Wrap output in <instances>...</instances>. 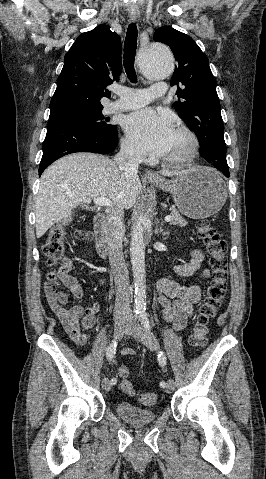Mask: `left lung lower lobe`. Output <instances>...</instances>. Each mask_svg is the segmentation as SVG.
I'll return each instance as SVG.
<instances>
[{"label":"left lung lower lobe","mask_w":266,"mask_h":479,"mask_svg":"<svg viewBox=\"0 0 266 479\" xmlns=\"http://www.w3.org/2000/svg\"><path fill=\"white\" fill-rule=\"evenodd\" d=\"M218 170H220L226 177H229V169H228V167H227V168H226V167H223V168H220V169H218Z\"/></svg>","instance_id":"obj_1"}]
</instances>
